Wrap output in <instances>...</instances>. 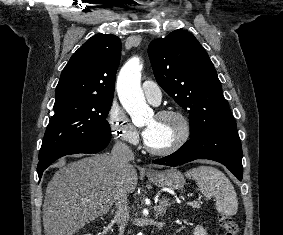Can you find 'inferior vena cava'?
Wrapping results in <instances>:
<instances>
[{"instance_id": "602c4592", "label": "inferior vena cava", "mask_w": 283, "mask_h": 235, "mask_svg": "<svg viewBox=\"0 0 283 235\" xmlns=\"http://www.w3.org/2000/svg\"><path fill=\"white\" fill-rule=\"evenodd\" d=\"M111 160L115 165L117 173L114 201L118 208L117 223L119 235H124L125 227L130 218L125 181L127 173L132 167L130 162L134 160V153L127 144L117 141L111 151Z\"/></svg>"}]
</instances>
